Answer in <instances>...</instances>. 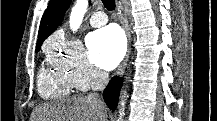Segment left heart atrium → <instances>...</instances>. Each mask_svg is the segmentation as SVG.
Returning a JSON list of instances; mask_svg holds the SVG:
<instances>
[{
    "label": "left heart atrium",
    "instance_id": "left-heart-atrium-1",
    "mask_svg": "<svg viewBox=\"0 0 217 121\" xmlns=\"http://www.w3.org/2000/svg\"><path fill=\"white\" fill-rule=\"evenodd\" d=\"M87 45L91 60L103 70L113 69L121 60L125 50L122 33L114 26L90 34Z\"/></svg>",
    "mask_w": 217,
    "mask_h": 121
}]
</instances>
